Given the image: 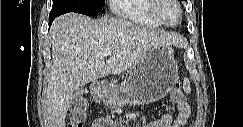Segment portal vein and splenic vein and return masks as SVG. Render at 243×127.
<instances>
[{
  "label": "portal vein and splenic vein",
  "instance_id": "obj_1",
  "mask_svg": "<svg viewBox=\"0 0 243 127\" xmlns=\"http://www.w3.org/2000/svg\"><path fill=\"white\" fill-rule=\"evenodd\" d=\"M101 54L104 55V56H109V55L111 54V50H109V49H105V50H103V51L101 52Z\"/></svg>",
  "mask_w": 243,
  "mask_h": 127
}]
</instances>
